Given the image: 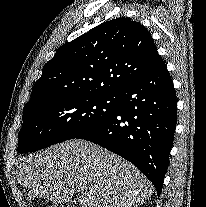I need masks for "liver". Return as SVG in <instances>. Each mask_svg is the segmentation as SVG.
Segmentation results:
<instances>
[{"instance_id": "obj_1", "label": "liver", "mask_w": 206, "mask_h": 207, "mask_svg": "<svg viewBox=\"0 0 206 207\" xmlns=\"http://www.w3.org/2000/svg\"><path fill=\"white\" fill-rule=\"evenodd\" d=\"M17 180L30 189L29 201L40 197L64 203L81 192V207H138L152 193L150 182L130 162L81 139L23 158Z\"/></svg>"}]
</instances>
